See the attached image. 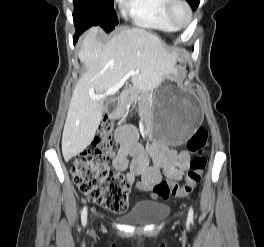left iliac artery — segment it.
<instances>
[{
  "label": "left iliac artery",
  "mask_w": 264,
  "mask_h": 247,
  "mask_svg": "<svg viewBox=\"0 0 264 247\" xmlns=\"http://www.w3.org/2000/svg\"><path fill=\"white\" fill-rule=\"evenodd\" d=\"M193 214H194V212H193V208L190 207L189 212H188V221H189L190 223H193Z\"/></svg>",
  "instance_id": "1"
}]
</instances>
